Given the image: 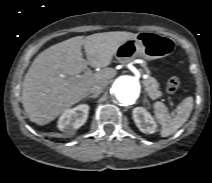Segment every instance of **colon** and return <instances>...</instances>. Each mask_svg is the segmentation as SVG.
<instances>
[{"label": "colon", "mask_w": 212, "mask_h": 183, "mask_svg": "<svg viewBox=\"0 0 212 183\" xmlns=\"http://www.w3.org/2000/svg\"><path fill=\"white\" fill-rule=\"evenodd\" d=\"M180 80L177 76H171L167 82L166 90L169 93H174L178 90Z\"/></svg>", "instance_id": "1"}]
</instances>
